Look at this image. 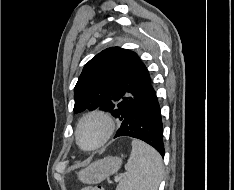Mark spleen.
I'll return each mask as SVG.
<instances>
[{
	"mask_svg": "<svg viewBox=\"0 0 234 190\" xmlns=\"http://www.w3.org/2000/svg\"><path fill=\"white\" fill-rule=\"evenodd\" d=\"M125 170L116 190H158L164 172L160 154L137 139L132 141V151Z\"/></svg>",
	"mask_w": 234,
	"mask_h": 190,
	"instance_id": "obj_1",
	"label": "spleen"
}]
</instances>
